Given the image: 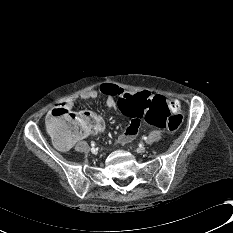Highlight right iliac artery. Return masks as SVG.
I'll use <instances>...</instances> for the list:
<instances>
[{
	"mask_svg": "<svg viewBox=\"0 0 233 233\" xmlns=\"http://www.w3.org/2000/svg\"><path fill=\"white\" fill-rule=\"evenodd\" d=\"M91 146L93 147L92 149H94L95 143H94V142H92V143H91Z\"/></svg>",
	"mask_w": 233,
	"mask_h": 233,
	"instance_id": "82829eb1",
	"label": "right iliac artery"
}]
</instances>
